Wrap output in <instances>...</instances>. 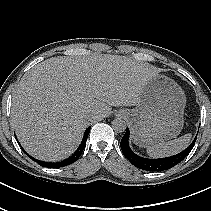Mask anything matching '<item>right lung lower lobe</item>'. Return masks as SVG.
Returning a JSON list of instances; mask_svg holds the SVG:
<instances>
[{"label": "right lung lower lobe", "instance_id": "right-lung-lower-lobe-1", "mask_svg": "<svg viewBox=\"0 0 211 211\" xmlns=\"http://www.w3.org/2000/svg\"><path fill=\"white\" fill-rule=\"evenodd\" d=\"M90 132V127H88L84 133L83 139L81 144L79 145V147L77 148V150L67 159L60 161V162H45V161H40V160H36L35 158L31 157L30 155H28L24 149L22 148L23 152L26 153V155L31 158L33 161L37 162L39 165L43 166V167H48V168H59V167H64L67 166L69 164L74 163L75 161L78 160V158L80 157V155L82 154L85 146H86V141L88 138Z\"/></svg>", "mask_w": 211, "mask_h": 211}]
</instances>
